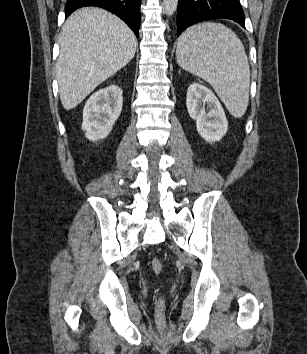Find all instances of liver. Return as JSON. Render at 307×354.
<instances>
[{"instance_id": "1", "label": "liver", "mask_w": 307, "mask_h": 354, "mask_svg": "<svg viewBox=\"0 0 307 354\" xmlns=\"http://www.w3.org/2000/svg\"><path fill=\"white\" fill-rule=\"evenodd\" d=\"M58 43L56 77L62 106L71 110L134 57L137 39L117 16L81 8L65 21Z\"/></svg>"}]
</instances>
